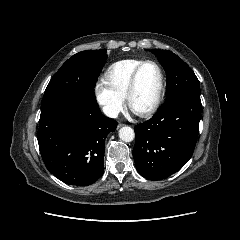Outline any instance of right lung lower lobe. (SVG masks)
<instances>
[{
  "label": "right lung lower lobe",
  "mask_w": 240,
  "mask_h": 240,
  "mask_svg": "<svg viewBox=\"0 0 240 240\" xmlns=\"http://www.w3.org/2000/svg\"><path fill=\"white\" fill-rule=\"evenodd\" d=\"M117 122L98 104L62 100L41 108L37 139L46 168L78 186L96 182L104 170V142Z\"/></svg>",
  "instance_id": "98d812e1"
}]
</instances>
